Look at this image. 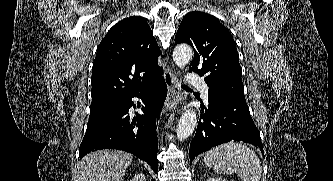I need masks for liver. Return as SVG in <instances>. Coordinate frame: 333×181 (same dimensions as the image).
<instances>
[{"label": "liver", "mask_w": 333, "mask_h": 181, "mask_svg": "<svg viewBox=\"0 0 333 181\" xmlns=\"http://www.w3.org/2000/svg\"><path fill=\"white\" fill-rule=\"evenodd\" d=\"M132 160V154L120 150L90 152L78 163L79 181H123Z\"/></svg>", "instance_id": "1"}]
</instances>
